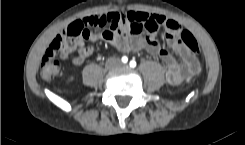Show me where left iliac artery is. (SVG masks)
<instances>
[{
	"label": "left iliac artery",
	"mask_w": 245,
	"mask_h": 145,
	"mask_svg": "<svg viewBox=\"0 0 245 145\" xmlns=\"http://www.w3.org/2000/svg\"><path fill=\"white\" fill-rule=\"evenodd\" d=\"M130 67H132V68L136 67V62L135 61H130Z\"/></svg>",
	"instance_id": "obj_1"
}]
</instances>
